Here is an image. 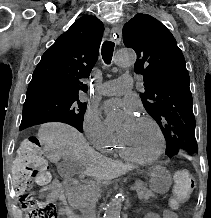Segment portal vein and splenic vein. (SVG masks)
Returning a JSON list of instances; mask_svg holds the SVG:
<instances>
[{
  "instance_id": "obj_1",
  "label": "portal vein and splenic vein",
  "mask_w": 211,
  "mask_h": 218,
  "mask_svg": "<svg viewBox=\"0 0 211 218\" xmlns=\"http://www.w3.org/2000/svg\"><path fill=\"white\" fill-rule=\"evenodd\" d=\"M133 188H134L133 186H130V189H129V190H130V191H133Z\"/></svg>"
}]
</instances>
